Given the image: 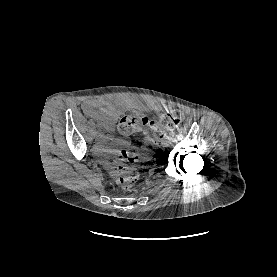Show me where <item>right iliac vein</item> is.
Here are the masks:
<instances>
[{"label": "right iliac vein", "mask_w": 277, "mask_h": 277, "mask_svg": "<svg viewBox=\"0 0 277 277\" xmlns=\"http://www.w3.org/2000/svg\"><path fill=\"white\" fill-rule=\"evenodd\" d=\"M95 139H96V140H99V136H98V135H96V136H95Z\"/></svg>", "instance_id": "1"}]
</instances>
